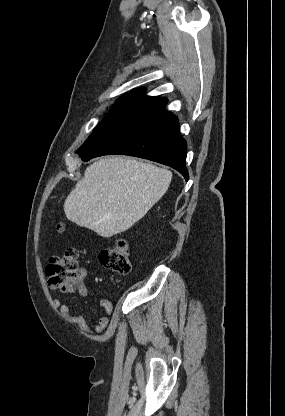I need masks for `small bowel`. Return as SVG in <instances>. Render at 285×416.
I'll list each match as a JSON object with an SVG mask.
<instances>
[{
    "mask_svg": "<svg viewBox=\"0 0 285 416\" xmlns=\"http://www.w3.org/2000/svg\"><path fill=\"white\" fill-rule=\"evenodd\" d=\"M81 281L79 285L77 286V292L81 297L87 298L90 296L89 289L87 288L83 278L85 276V271L81 270ZM53 304L59 309V313L61 317L68 323L75 324L78 326V328L83 332L84 334L90 335L92 334V330L86 321V319L83 316L75 315L71 308L66 305L62 300L60 299H54ZM99 305L103 309L106 315L111 314L113 310L112 303L105 298H101L99 300ZM102 316L99 318V320L95 324V331L97 333L103 332L107 325H108V317Z\"/></svg>",
    "mask_w": 285,
    "mask_h": 416,
    "instance_id": "small-bowel-1",
    "label": "small bowel"
}]
</instances>
